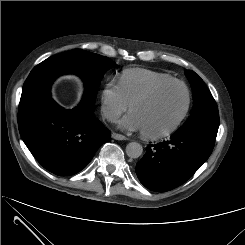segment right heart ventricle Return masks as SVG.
Returning a JSON list of instances; mask_svg holds the SVG:
<instances>
[{
	"label": "right heart ventricle",
	"instance_id": "e07e8e85",
	"mask_svg": "<svg viewBox=\"0 0 245 245\" xmlns=\"http://www.w3.org/2000/svg\"><path fill=\"white\" fill-rule=\"evenodd\" d=\"M168 74L142 69L133 68L124 70L118 79V87L125 99V101L130 104V102L145 93L154 85L172 80Z\"/></svg>",
	"mask_w": 245,
	"mask_h": 245
}]
</instances>
